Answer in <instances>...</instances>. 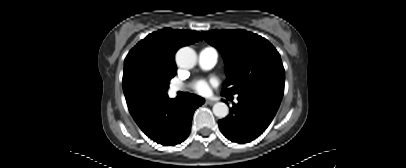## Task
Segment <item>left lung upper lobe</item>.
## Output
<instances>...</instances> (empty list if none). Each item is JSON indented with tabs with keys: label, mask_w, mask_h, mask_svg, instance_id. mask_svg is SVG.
<instances>
[{
	"label": "left lung upper lobe",
	"mask_w": 406,
	"mask_h": 168,
	"mask_svg": "<svg viewBox=\"0 0 406 168\" xmlns=\"http://www.w3.org/2000/svg\"><path fill=\"white\" fill-rule=\"evenodd\" d=\"M202 33L226 62L227 80L221 95H266L282 99L285 71L280 54L268 40L240 29Z\"/></svg>",
	"instance_id": "left-lung-upper-lobe-1"
}]
</instances>
